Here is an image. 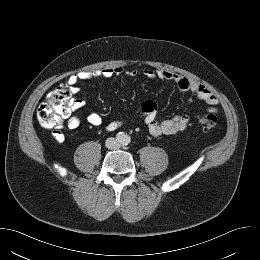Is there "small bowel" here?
<instances>
[{"label":"small bowel","instance_id":"small-bowel-1","mask_svg":"<svg viewBox=\"0 0 260 260\" xmlns=\"http://www.w3.org/2000/svg\"><path fill=\"white\" fill-rule=\"evenodd\" d=\"M125 73V70L120 67H105L102 69L90 70V71H80L69 77V82L73 89L76 91L78 89V83L83 80H91L96 78H111L113 76H119ZM126 74L130 77H136L139 72L136 69H130L126 71ZM142 75L150 80L161 79L167 80L175 83L179 92L193 93L198 99L203 101L208 105L209 110H215L218 104V99L214 93L202 83L192 80L186 76L175 74L165 69H151L145 68L142 71ZM82 101L79 99H74L70 105L68 114L66 115V123L69 129H76L80 125V117L76 112L82 107ZM157 106L153 101L147 100L142 103L138 117L142 119L148 127L149 132L160 137L163 135L174 134L179 131L184 130L191 119L188 114L176 115L172 118L163 120L161 122L157 121ZM87 120L91 125L98 126L102 123L101 116L96 112H91L87 116ZM125 121L123 120H113L106 125L108 131H115L121 127ZM55 138L58 141H62L64 136L61 132L55 134Z\"/></svg>","mask_w":260,"mask_h":260}]
</instances>
